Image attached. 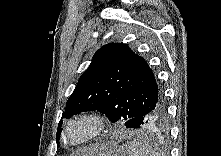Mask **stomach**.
I'll return each instance as SVG.
<instances>
[{
	"instance_id": "0dacf381",
	"label": "stomach",
	"mask_w": 221,
	"mask_h": 156,
	"mask_svg": "<svg viewBox=\"0 0 221 156\" xmlns=\"http://www.w3.org/2000/svg\"><path fill=\"white\" fill-rule=\"evenodd\" d=\"M97 147L98 149L91 156H127V151L124 147L115 145Z\"/></svg>"
}]
</instances>
